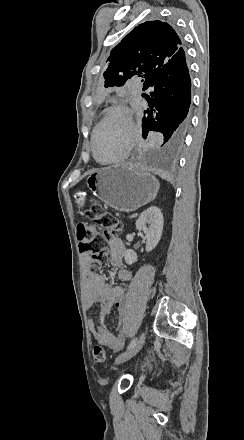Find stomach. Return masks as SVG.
Wrapping results in <instances>:
<instances>
[{"mask_svg": "<svg viewBox=\"0 0 244 440\" xmlns=\"http://www.w3.org/2000/svg\"><path fill=\"white\" fill-rule=\"evenodd\" d=\"M86 184L99 200L119 212H134L157 196L159 182L149 170L134 166H108L92 172ZM86 192H76L77 208H84Z\"/></svg>", "mask_w": 244, "mask_h": 440, "instance_id": "stomach-1", "label": "stomach"}]
</instances>
